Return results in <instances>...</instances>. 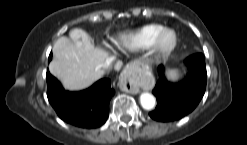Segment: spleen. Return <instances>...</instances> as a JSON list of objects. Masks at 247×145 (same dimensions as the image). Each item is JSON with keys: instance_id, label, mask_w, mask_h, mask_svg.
I'll return each instance as SVG.
<instances>
[{"instance_id": "3e777b00", "label": "spleen", "mask_w": 247, "mask_h": 145, "mask_svg": "<svg viewBox=\"0 0 247 145\" xmlns=\"http://www.w3.org/2000/svg\"><path fill=\"white\" fill-rule=\"evenodd\" d=\"M166 77L169 81L177 82L182 78V73L178 69L166 70Z\"/></svg>"}]
</instances>
